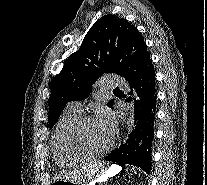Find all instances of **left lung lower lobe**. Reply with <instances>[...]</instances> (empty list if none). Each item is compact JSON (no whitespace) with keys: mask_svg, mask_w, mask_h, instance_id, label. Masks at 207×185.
<instances>
[{"mask_svg":"<svg viewBox=\"0 0 207 185\" xmlns=\"http://www.w3.org/2000/svg\"><path fill=\"white\" fill-rule=\"evenodd\" d=\"M128 83L131 86L129 94L135 95V127L126 144L113 150L105 160L116 162L122 167L124 164H132L150 174L157 99L153 65L129 79Z\"/></svg>","mask_w":207,"mask_h":185,"instance_id":"obj_1","label":"left lung lower lobe"}]
</instances>
